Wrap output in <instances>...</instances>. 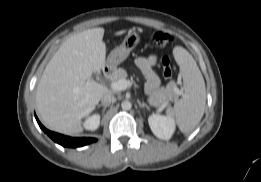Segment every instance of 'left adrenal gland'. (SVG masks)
I'll use <instances>...</instances> for the list:
<instances>
[{
    "mask_svg": "<svg viewBox=\"0 0 261 182\" xmlns=\"http://www.w3.org/2000/svg\"><path fill=\"white\" fill-rule=\"evenodd\" d=\"M138 104H139V106H140L141 108L146 107L147 109H149V106H148L146 103H141V102L139 101Z\"/></svg>",
    "mask_w": 261,
    "mask_h": 182,
    "instance_id": "left-adrenal-gland-1",
    "label": "left adrenal gland"
}]
</instances>
